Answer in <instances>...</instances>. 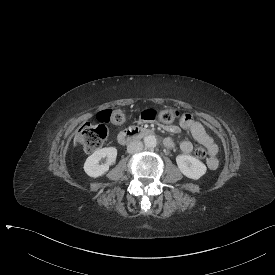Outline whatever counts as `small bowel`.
Segmentation results:
<instances>
[{
  "instance_id": "1",
  "label": "small bowel",
  "mask_w": 275,
  "mask_h": 275,
  "mask_svg": "<svg viewBox=\"0 0 275 275\" xmlns=\"http://www.w3.org/2000/svg\"><path fill=\"white\" fill-rule=\"evenodd\" d=\"M167 129L171 133H177L181 129L189 131L196 142L208 149L210 156L206 162L207 167L211 170L218 168L219 160L216 156L218 150L217 145L213 138L206 132L203 125L195 120L190 114H184L178 125L168 126ZM170 141L167 147L172 148L174 147V142L171 139ZM179 148L183 153L189 154L193 150V144L189 140H183L180 142Z\"/></svg>"
}]
</instances>
